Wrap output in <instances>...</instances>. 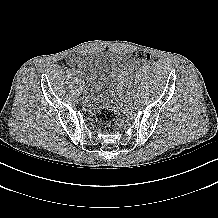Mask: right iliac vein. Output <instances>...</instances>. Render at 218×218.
<instances>
[{
	"instance_id": "right-iliac-vein-1",
	"label": "right iliac vein",
	"mask_w": 218,
	"mask_h": 218,
	"mask_svg": "<svg viewBox=\"0 0 218 218\" xmlns=\"http://www.w3.org/2000/svg\"><path fill=\"white\" fill-rule=\"evenodd\" d=\"M81 90L84 88L82 85H81V81H80V87H79Z\"/></svg>"
}]
</instances>
